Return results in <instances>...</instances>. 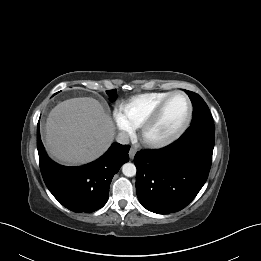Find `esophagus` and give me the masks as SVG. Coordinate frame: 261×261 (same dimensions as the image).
I'll use <instances>...</instances> for the list:
<instances>
[{"label":"esophagus","mask_w":261,"mask_h":261,"mask_svg":"<svg viewBox=\"0 0 261 261\" xmlns=\"http://www.w3.org/2000/svg\"><path fill=\"white\" fill-rule=\"evenodd\" d=\"M135 154H136V149L133 148V147H131L130 150H129V157H130L131 159H133L134 156H135Z\"/></svg>","instance_id":"1"}]
</instances>
